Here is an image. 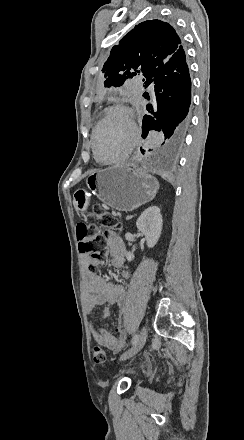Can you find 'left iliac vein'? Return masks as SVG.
Segmentation results:
<instances>
[{
    "instance_id": "left-iliac-vein-1",
    "label": "left iliac vein",
    "mask_w": 244,
    "mask_h": 440,
    "mask_svg": "<svg viewBox=\"0 0 244 440\" xmlns=\"http://www.w3.org/2000/svg\"><path fill=\"white\" fill-rule=\"evenodd\" d=\"M148 336L147 329L143 327L138 335V339L136 343L127 351H125L121 356L120 360H126L131 357H133L135 354H137L144 346L146 339Z\"/></svg>"
}]
</instances>
